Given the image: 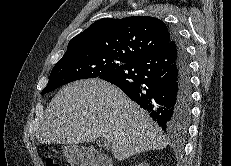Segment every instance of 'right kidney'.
Wrapping results in <instances>:
<instances>
[{
	"label": "right kidney",
	"instance_id": "obj_1",
	"mask_svg": "<svg viewBox=\"0 0 231 166\" xmlns=\"http://www.w3.org/2000/svg\"><path fill=\"white\" fill-rule=\"evenodd\" d=\"M135 166H149V164L146 163V162H142V163H139V164H137Z\"/></svg>",
	"mask_w": 231,
	"mask_h": 166
}]
</instances>
